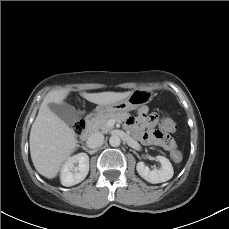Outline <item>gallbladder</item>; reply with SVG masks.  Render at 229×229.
<instances>
[{
    "instance_id": "gallbladder-1",
    "label": "gallbladder",
    "mask_w": 229,
    "mask_h": 229,
    "mask_svg": "<svg viewBox=\"0 0 229 229\" xmlns=\"http://www.w3.org/2000/svg\"><path fill=\"white\" fill-rule=\"evenodd\" d=\"M48 106L67 125H74L79 120L76 109L67 103H50Z\"/></svg>"
}]
</instances>
